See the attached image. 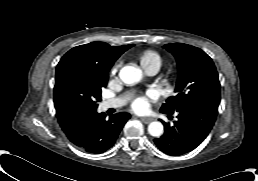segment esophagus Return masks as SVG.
I'll return each mask as SVG.
<instances>
[{"label":"esophagus","mask_w":258,"mask_h":181,"mask_svg":"<svg viewBox=\"0 0 258 181\" xmlns=\"http://www.w3.org/2000/svg\"><path fill=\"white\" fill-rule=\"evenodd\" d=\"M140 120L145 123L148 124L150 123L153 119L152 118H148V117H141Z\"/></svg>","instance_id":"obj_1"}]
</instances>
